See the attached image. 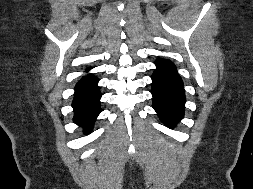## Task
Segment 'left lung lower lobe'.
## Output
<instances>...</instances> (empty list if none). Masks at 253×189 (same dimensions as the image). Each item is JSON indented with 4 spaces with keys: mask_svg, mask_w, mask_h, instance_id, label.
<instances>
[{
    "mask_svg": "<svg viewBox=\"0 0 253 189\" xmlns=\"http://www.w3.org/2000/svg\"><path fill=\"white\" fill-rule=\"evenodd\" d=\"M152 75L153 108L160 120L173 128L184 116L183 82L169 60H157Z\"/></svg>",
    "mask_w": 253,
    "mask_h": 189,
    "instance_id": "0a47b994",
    "label": "left lung lower lobe"
}]
</instances>
